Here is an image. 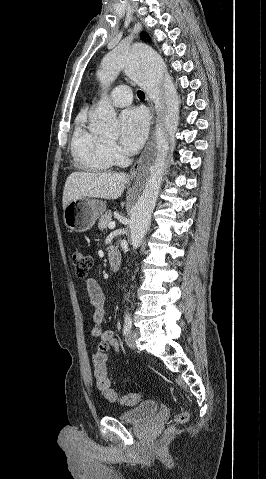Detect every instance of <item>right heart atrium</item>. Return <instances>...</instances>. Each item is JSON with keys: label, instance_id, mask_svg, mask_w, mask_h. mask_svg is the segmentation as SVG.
<instances>
[{"label": "right heart atrium", "instance_id": "d8ad5b80", "mask_svg": "<svg viewBox=\"0 0 266 479\" xmlns=\"http://www.w3.org/2000/svg\"><path fill=\"white\" fill-rule=\"evenodd\" d=\"M107 152L113 161L117 164H122L126 161V157L121 148L114 142H107Z\"/></svg>", "mask_w": 266, "mask_h": 479}]
</instances>
